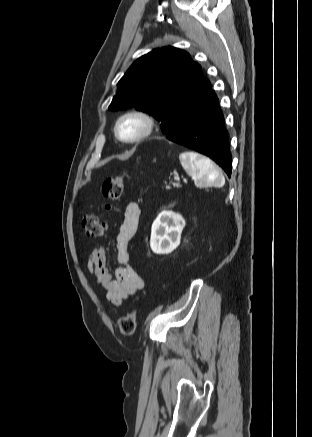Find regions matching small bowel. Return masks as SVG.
<instances>
[{
	"instance_id": "obj_1",
	"label": "small bowel",
	"mask_w": 312,
	"mask_h": 437,
	"mask_svg": "<svg viewBox=\"0 0 312 437\" xmlns=\"http://www.w3.org/2000/svg\"><path fill=\"white\" fill-rule=\"evenodd\" d=\"M139 218V203H128L115 237L120 266L114 272L107 267V254L103 246L96 247L88 258V271L95 276L96 283L106 290L108 302L115 306H120L125 299L144 287L142 277L129 264V243L137 231Z\"/></svg>"
}]
</instances>
